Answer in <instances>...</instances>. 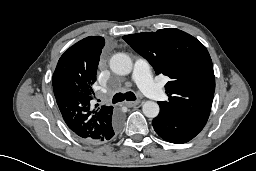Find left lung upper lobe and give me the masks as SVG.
I'll use <instances>...</instances> for the list:
<instances>
[{
	"label": "left lung upper lobe",
	"instance_id": "left-lung-upper-lobe-1",
	"mask_svg": "<svg viewBox=\"0 0 256 171\" xmlns=\"http://www.w3.org/2000/svg\"><path fill=\"white\" fill-rule=\"evenodd\" d=\"M123 39L154 67L170 78L165 85L169 101L159 102L205 125L215 91V76L206 47L176 28L123 36Z\"/></svg>",
	"mask_w": 256,
	"mask_h": 171
}]
</instances>
